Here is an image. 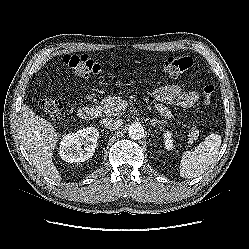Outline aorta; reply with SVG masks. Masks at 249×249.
Wrapping results in <instances>:
<instances>
[{
	"mask_svg": "<svg viewBox=\"0 0 249 249\" xmlns=\"http://www.w3.org/2000/svg\"><path fill=\"white\" fill-rule=\"evenodd\" d=\"M128 135L132 140H140L144 137V128L140 123H133L128 128Z\"/></svg>",
	"mask_w": 249,
	"mask_h": 249,
	"instance_id": "762f6f07",
	"label": "aorta"
}]
</instances>
